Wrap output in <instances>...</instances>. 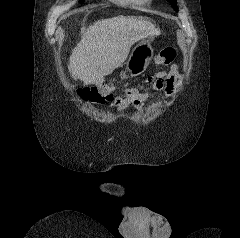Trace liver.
I'll return each mask as SVG.
<instances>
[{"mask_svg":"<svg viewBox=\"0 0 240 238\" xmlns=\"http://www.w3.org/2000/svg\"><path fill=\"white\" fill-rule=\"evenodd\" d=\"M161 32L148 19L117 16L81 28V40L72 50L70 71L86 85H99L121 66L139 40Z\"/></svg>","mask_w":240,"mask_h":238,"instance_id":"obj_1","label":"liver"}]
</instances>
